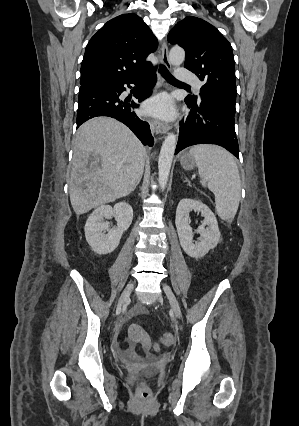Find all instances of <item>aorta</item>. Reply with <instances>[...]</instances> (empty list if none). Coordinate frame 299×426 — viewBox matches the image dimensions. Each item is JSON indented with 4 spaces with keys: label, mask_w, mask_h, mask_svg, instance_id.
Masks as SVG:
<instances>
[{
    "label": "aorta",
    "mask_w": 299,
    "mask_h": 426,
    "mask_svg": "<svg viewBox=\"0 0 299 426\" xmlns=\"http://www.w3.org/2000/svg\"><path fill=\"white\" fill-rule=\"evenodd\" d=\"M185 60V51L179 46H174L169 52V62L174 66H179ZM177 144V136L174 133H169L165 138L158 160V181L162 191L165 189L169 173L171 169L172 160Z\"/></svg>",
    "instance_id": "aorta-1"
}]
</instances>
